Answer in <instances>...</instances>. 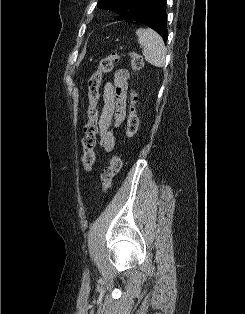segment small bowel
Instances as JSON below:
<instances>
[{"label":"small bowel","mask_w":245,"mask_h":314,"mask_svg":"<svg viewBox=\"0 0 245 314\" xmlns=\"http://www.w3.org/2000/svg\"><path fill=\"white\" fill-rule=\"evenodd\" d=\"M129 72L119 69L115 72L113 80L105 83L103 91V108L98 115L99 144L102 150L110 152L116 145V135L110 129L122 128L126 116V95Z\"/></svg>","instance_id":"1"}]
</instances>
